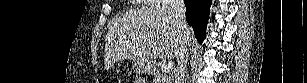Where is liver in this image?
<instances>
[{"instance_id":"liver-1","label":"liver","mask_w":307,"mask_h":83,"mask_svg":"<svg viewBox=\"0 0 307 83\" xmlns=\"http://www.w3.org/2000/svg\"><path fill=\"white\" fill-rule=\"evenodd\" d=\"M185 31L189 43L192 30L187 26ZM179 45V29L171 7L132 10L114 19L109 26L104 50L105 68L131 59L147 70L158 57L176 58Z\"/></svg>"}]
</instances>
